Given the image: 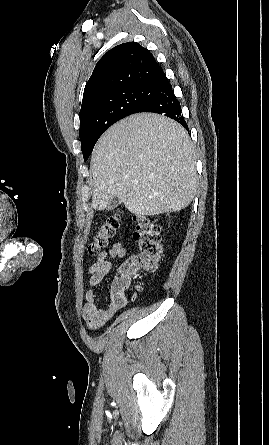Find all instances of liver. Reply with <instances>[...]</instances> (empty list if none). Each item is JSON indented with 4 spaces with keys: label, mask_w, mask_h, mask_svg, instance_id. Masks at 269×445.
<instances>
[{
    "label": "liver",
    "mask_w": 269,
    "mask_h": 445,
    "mask_svg": "<svg viewBox=\"0 0 269 445\" xmlns=\"http://www.w3.org/2000/svg\"><path fill=\"white\" fill-rule=\"evenodd\" d=\"M91 171L92 207L105 210L117 196L136 216L180 211L198 185L188 133L153 113L134 114L110 127L94 148Z\"/></svg>",
    "instance_id": "6515ba94"
}]
</instances>
